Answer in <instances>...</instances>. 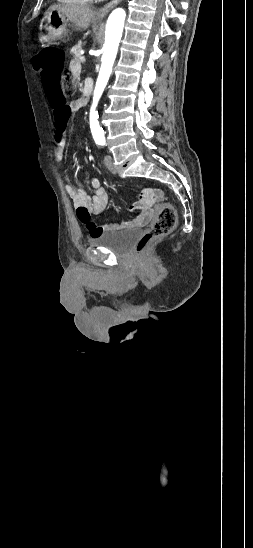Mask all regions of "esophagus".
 I'll return each mask as SVG.
<instances>
[{
    "mask_svg": "<svg viewBox=\"0 0 253 548\" xmlns=\"http://www.w3.org/2000/svg\"><path fill=\"white\" fill-rule=\"evenodd\" d=\"M122 0H111L97 11V15L100 17L105 16L113 7H115Z\"/></svg>",
    "mask_w": 253,
    "mask_h": 548,
    "instance_id": "esophagus-1",
    "label": "esophagus"
}]
</instances>
